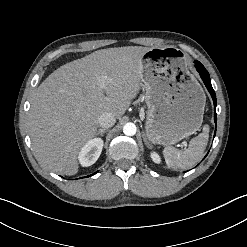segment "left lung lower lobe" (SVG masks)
Listing matches in <instances>:
<instances>
[{
    "label": "left lung lower lobe",
    "instance_id": "0a47b994",
    "mask_svg": "<svg viewBox=\"0 0 247 247\" xmlns=\"http://www.w3.org/2000/svg\"><path fill=\"white\" fill-rule=\"evenodd\" d=\"M195 64H196L195 67L197 68V71L200 73V76H201L204 84L206 85L208 91L210 92V94L212 96V99L214 102V108H216V104H217L216 95H215V91L213 90L212 85H211L209 73L207 72V70L204 68V66L199 61H196ZM214 120L216 123V121H217L216 112L214 113ZM215 134H216V132H215ZM215 134H214V136H215Z\"/></svg>",
    "mask_w": 247,
    "mask_h": 247
}]
</instances>
